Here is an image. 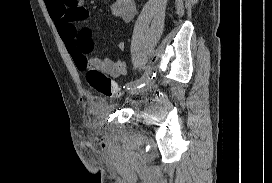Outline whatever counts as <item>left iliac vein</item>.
<instances>
[{"instance_id":"obj_1","label":"left iliac vein","mask_w":272,"mask_h":183,"mask_svg":"<svg viewBox=\"0 0 272 183\" xmlns=\"http://www.w3.org/2000/svg\"><path fill=\"white\" fill-rule=\"evenodd\" d=\"M145 86L138 89V88H133L131 91H129L130 94H140L143 93L147 90H149L152 86H153V81L152 80H148L145 82Z\"/></svg>"}]
</instances>
